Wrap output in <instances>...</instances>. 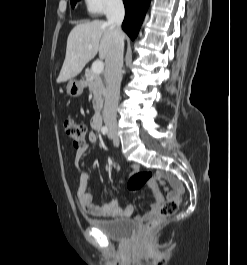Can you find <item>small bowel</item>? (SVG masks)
I'll list each match as a JSON object with an SVG mask.
<instances>
[{
	"instance_id": "small-bowel-1",
	"label": "small bowel",
	"mask_w": 247,
	"mask_h": 265,
	"mask_svg": "<svg viewBox=\"0 0 247 265\" xmlns=\"http://www.w3.org/2000/svg\"><path fill=\"white\" fill-rule=\"evenodd\" d=\"M88 140L91 143L97 142V136L95 133L91 132L88 135ZM86 151V146L78 148L76 150V164L79 163V160ZM133 172H138L139 167L134 165L132 167ZM89 181V174L87 172H81L79 186L76 191V199L80 208L84 214L96 216V217H106V218H118V217H131L133 215V207L131 205H126L121 207L117 200H113L108 204L96 205L93 204V196L90 192L86 190L87 184ZM175 190L167 192V199L175 198L177 191H182L180 184L174 180L171 184ZM153 203L142 217H139L140 220L151 219L157 214V211L164 200V195L159 187L152 190Z\"/></svg>"
}]
</instances>
